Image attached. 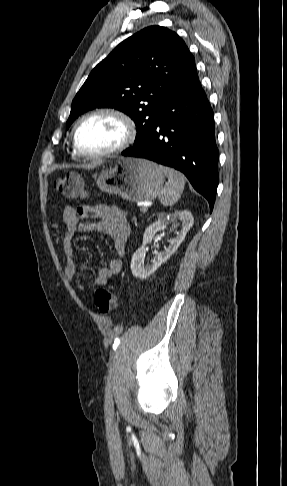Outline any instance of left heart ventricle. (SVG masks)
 <instances>
[{"label": "left heart ventricle", "mask_w": 287, "mask_h": 486, "mask_svg": "<svg viewBox=\"0 0 287 486\" xmlns=\"http://www.w3.org/2000/svg\"><path fill=\"white\" fill-rule=\"evenodd\" d=\"M124 136V128L112 116L99 115L86 120L79 128L77 142L86 152H101L116 146Z\"/></svg>", "instance_id": "left-heart-ventricle-1"}]
</instances>
